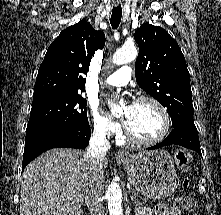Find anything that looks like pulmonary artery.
<instances>
[{
  "label": "pulmonary artery",
  "mask_w": 221,
  "mask_h": 215,
  "mask_svg": "<svg viewBox=\"0 0 221 215\" xmlns=\"http://www.w3.org/2000/svg\"><path fill=\"white\" fill-rule=\"evenodd\" d=\"M132 70L128 66H123L113 74L108 76L104 82L113 86H121L127 84L131 79Z\"/></svg>",
  "instance_id": "e3ab8cb5"
}]
</instances>
